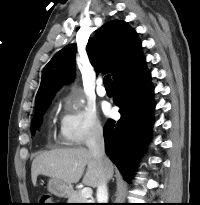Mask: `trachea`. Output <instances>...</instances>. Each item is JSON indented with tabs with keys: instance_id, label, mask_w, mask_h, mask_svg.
Segmentation results:
<instances>
[{
	"instance_id": "trachea-1",
	"label": "trachea",
	"mask_w": 200,
	"mask_h": 205,
	"mask_svg": "<svg viewBox=\"0 0 200 205\" xmlns=\"http://www.w3.org/2000/svg\"><path fill=\"white\" fill-rule=\"evenodd\" d=\"M103 83H104V86L106 88H113V85H112V80H111V75L108 74L104 77L103 79Z\"/></svg>"
}]
</instances>
